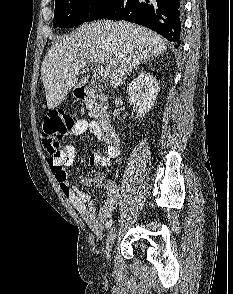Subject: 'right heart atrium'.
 Instances as JSON below:
<instances>
[{
	"mask_svg": "<svg viewBox=\"0 0 233 294\" xmlns=\"http://www.w3.org/2000/svg\"><path fill=\"white\" fill-rule=\"evenodd\" d=\"M85 7L89 12H94L98 8V3L95 0H87Z\"/></svg>",
	"mask_w": 233,
	"mask_h": 294,
	"instance_id": "1",
	"label": "right heart atrium"
}]
</instances>
